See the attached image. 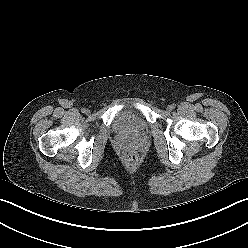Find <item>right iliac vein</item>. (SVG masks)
<instances>
[{
  "mask_svg": "<svg viewBox=\"0 0 248 248\" xmlns=\"http://www.w3.org/2000/svg\"><path fill=\"white\" fill-rule=\"evenodd\" d=\"M85 113L89 114V113H90V111H89V110H86V112H85Z\"/></svg>",
  "mask_w": 248,
  "mask_h": 248,
  "instance_id": "1",
  "label": "right iliac vein"
}]
</instances>
